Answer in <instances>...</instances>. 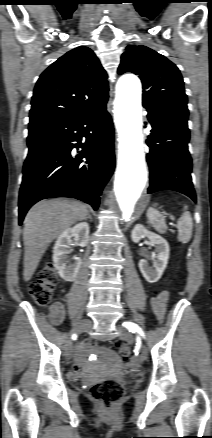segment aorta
Masks as SVG:
<instances>
[{
  "mask_svg": "<svg viewBox=\"0 0 212 438\" xmlns=\"http://www.w3.org/2000/svg\"><path fill=\"white\" fill-rule=\"evenodd\" d=\"M141 83L134 75L119 79L114 119L119 133L118 166L114 181L116 207L120 218L129 221L147 181L143 150Z\"/></svg>",
  "mask_w": 212,
  "mask_h": 438,
  "instance_id": "1",
  "label": "aorta"
}]
</instances>
